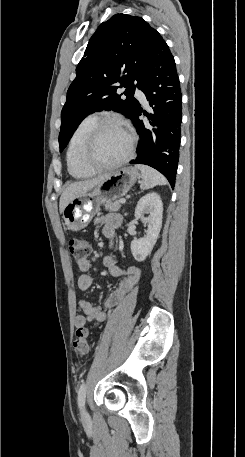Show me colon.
<instances>
[{
	"instance_id": "5ec220e1",
	"label": "colon",
	"mask_w": 245,
	"mask_h": 457,
	"mask_svg": "<svg viewBox=\"0 0 245 457\" xmlns=\"http://www.w3.org/2000/svg\"><path fill=\"white\" fill-rule=\"evenodd\" d=\"M70 254L77 260L86 259L90 254V246L87 242L80 239H70L68 242ZM75 352L84 357L89 353V331L87 328H78L74 336Z\"/></svg>"
}]
</instances>
